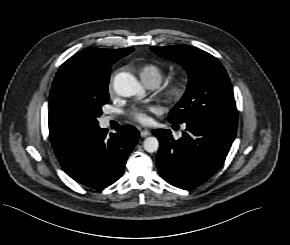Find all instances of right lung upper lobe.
I'll use <instances>...</instances> for the list:
<instances>
[{
    "mask_svg": "<svg viewBox=\"0 0 290 245\" xmlns=\"http://www.w3.org/2000/svg\"><path fill=\"white\" fill-rule=\"evenodd\" d=\"M133 48L100 49L90 47L69 58L70 61H84L93 64L118 61L133 52ZM64 63V64H65ZM87 127L68 110L51 90L49 98V133L53 148H57Z\"/></svg>",
    "mask_w": 290,
    "mask_h": 245,
    "instance_id": "right-lung-upper-lobe-1",
    "label": "right lung upper lobe"
}]
</instances>
